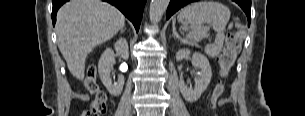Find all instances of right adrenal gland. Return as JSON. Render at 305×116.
Here are the masks:
<instances>
[{
  "label": "right adrenal gland",
  "mask_w": 305,
  "mask_h": 116,
  "mask_svg": "<svg viewBox=\"0 0 305 116\" xmlns=\"http://www.w3.org/2000/svg\"><path fill=\"white\" fill-rule=\"evenodd\" d=\"M125 30H126V28H125V27H124V28H122V29H121V33H123Z\"/></svg>",
  "instance_id": "1"
}]
</instances>
